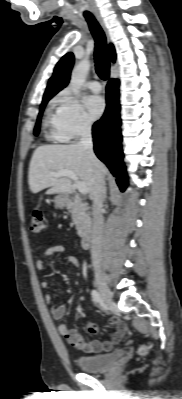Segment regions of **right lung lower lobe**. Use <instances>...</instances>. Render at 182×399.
<instances>
[{
    "instance_id": "98d812e1",
    "label": "right lung lower lobe",
    "mask_w": 182,
    "mask_h": 399,
    "mask_svg": "<svg viewBox=\"0 0 182 399\" xmlns=\"http://www.w3.org/2000/svg\"><path fill=\"white\" fill-rule=\"evenodd\" d=\"M119 81L111 79L106 87V110L100 120L92 128L94 151L116 177L121 191L128 185L120 133Z\"/></svg>"
}]
</instances>
